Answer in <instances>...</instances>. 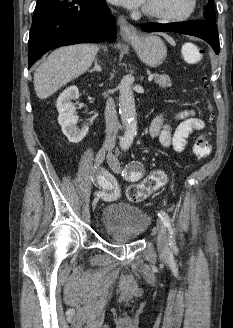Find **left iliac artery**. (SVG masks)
<instances>
[{
  "label": "left iliac artery",
  "instance_id": "obj_1",
  "mask_svg": "<svg viewBox=\"0 0 233 328\" xmlns=\"http://www.w3.org/2000/svg\"><path fill=\"white\" fill-rule=\"evenodd\" d=\"M125 149H127V147H125ZM124 176L128 177V179L131 180V181H137V180L140 179L141 173L132 171L129 176H127V174H124ZM158 216L162 220V222L164 223V226L167 228V231H168V234H169L170 249L175 250L177 248L176 241H175V229H174V227L171 223V219H170L169 215L164 211H160L158 213Z\"/></svg>",
  "mask_w": 233,
  "mask_h": 328
}]
</instances>
